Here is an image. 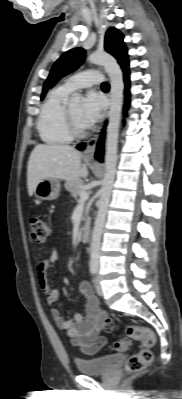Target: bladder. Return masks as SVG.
I'll return each instance as SVG.
<instances>
[{
	"label": "bladder",
	"mask_w": 182,
	"mask_h": 399,
	"mask_svg": "<svg viewBox=\"0 0 182 399\" xmlns=\"http://www.w3.org/2000/svg\"><path fill=\"white\" fill-rule=\"evenodd\" d=\"M122 358V355H104L90 359H76L77 370L82 375H103L109 372L112 366Z\"/></svg>",
	"instance_id": "obj_1"
}]
</instances>
